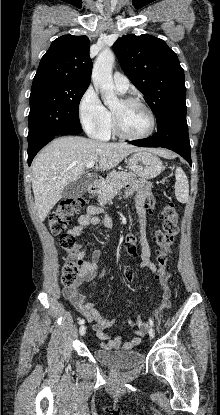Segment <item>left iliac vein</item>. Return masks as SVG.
<instances>
[{"label":"left iliac vein","instance_id":"obj_1","mask_svg":"<svg viewBox=\"0 0 220 415\" xmlns=\"http://www.w3.org/2000/svg\"><path fill=\"white\" fill-rule=\"evenodd\" d=\"M148 333H149V336H150L151 338H154V336H155V331H154V329H153L152 327H150V328H149Z\"/></svg>","mask_w":220,"mask_h":415}]
</instances>
